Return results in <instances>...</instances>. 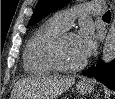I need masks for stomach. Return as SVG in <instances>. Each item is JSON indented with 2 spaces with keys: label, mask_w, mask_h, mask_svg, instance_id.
<instances>
[{
  "label": "stomach",
  "mask_w": 115,
  "mask_h": 99,
  "mask_svg": "<svg viewBox=\"0 0 115 99\" xmlns=\"http://www.w3.org/2000/svg\"><path fill=\"white\" fill-rule=\"evenodd\" d=\"M77 90L81 94H88L93 90V87L89 83H80L77 85Z\"/></svg>",
  "instance_id": "1"
}]
</instances>
